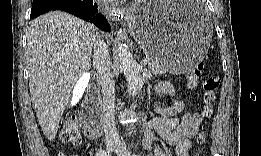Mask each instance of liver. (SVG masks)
<instances>
[{
  "label": "liver",
  "mask_w": 261,
  "mask_h": 156,
  "mask_svg": "<svg viewBox=\"0 0 261 156\" xmlns=\"http://www.w3.org/2000/svg\"><path fill=\"white\" fill-rule=\"evenodd\" d=\"M97 28L61 11L48 12L27 31V69L31 100L43 133L57 135L72 91L91 67Z\"/></svg>",
  "instance_id": "1"
}]
</instances>
